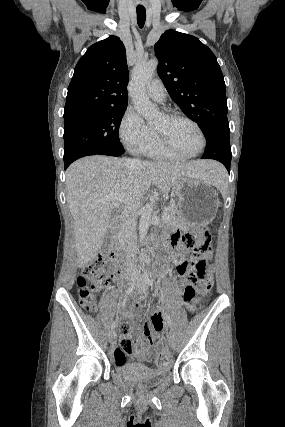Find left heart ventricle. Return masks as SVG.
<instances>
[{"instance_id":"b2bd125f","label":"left heart ventricle","mask_w":285,"mask_h":427,"mask_svg":"<svg viewBox=\"0 0 285 427\" xmlns=\"http://www.w3.org/2000/svg\"><path fill=\"white\" fill-rule=\"evenodd\" d=\"M153 126L164 133L183 152L194 153L200 148L201 140L197 130L186 121L169 120L160 114Z\"/></svg>"}]
</instances>
